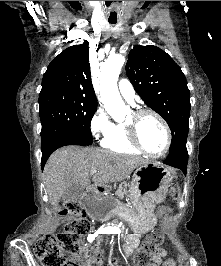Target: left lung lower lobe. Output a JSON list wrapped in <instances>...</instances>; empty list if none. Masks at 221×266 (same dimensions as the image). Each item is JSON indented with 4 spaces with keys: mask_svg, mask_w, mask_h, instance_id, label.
I'll return each mask as SVG.
<instances>
[{
    "mask_svg": "<svg viewBox=\"0 0 221 266\" xmlns=\"http://www.w3.org/2000/svg\"><path fill=\"white\" fill-rule=\"evenodd\" d=\"M165 164L179 168L186 174L187 163H188V152L187 148L177 149L169 152L168 157L164 161Z\"/></svg>",
    "mask_w": 221,
    "mask_h": 266,
    "instance_id": "1",
    "label": "left lung lower lobe"
}]
</instances>
